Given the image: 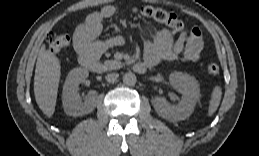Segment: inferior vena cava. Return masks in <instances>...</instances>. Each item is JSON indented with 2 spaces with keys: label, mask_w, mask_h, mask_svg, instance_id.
Masks as SVG:
<instances>
[{
  "label": "inferior vena cava",
  "mask_w": 259,
  "mask_h": 156,
  "mask_svg": "<svg viewBox=\"0 0 259 156\" xmlns=\"http://www.w3.org/2000/svg\"><path fill=\"white\" fill-rule=\"evenodd\" d=\"M118 76L119 74L117 73H111V74H107L105 78L109 83H114L117 80Z\"/></svg>",
  "instance_id": "602c4592"
}]
</instances>
